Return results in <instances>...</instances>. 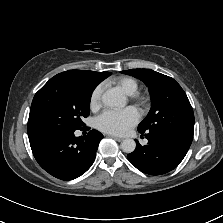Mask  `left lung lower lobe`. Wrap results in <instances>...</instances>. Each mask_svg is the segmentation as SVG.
Returning a JSON list of instances; mask_svg holds the SVG:
<instances>
[{
    "label": "left lung lower lobe",
    "instance_id": "1",
    "mask_svg": "<svg viewBox=\"0 0 223 223\" xmlns=\"http://www.w3.org/2000/svg\"><path fill=\"white\" fill-rule=\"evenodd\" d=\"M145 137L148 144L141 146L136 140V149L127 157L136 168L150 175L164 174L176 168L193 139L167 131H147Z\"/></svg>",
    "mask_w": 223,
    "mask_h": 223
}]
</instances>
